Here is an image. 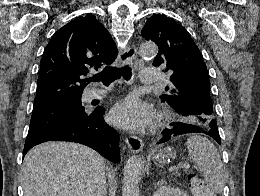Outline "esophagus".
Returning <instances> with one entry per match:
<instances>
[{"instance_id":"obj_1","label":"esophagus","mask_w":260,"mask_h":196,"mask_svg":"<svg viewBox=\"0 0 260 196\" xmlns=\"http://www.w3.org/2000/svg\"><path fill=\"white\" fill-rule=\"evenodd\" d=\"M136 55V48L134 45L127 47L126 49L122 50L119 54L120 60L123 65L127 63H131ZM125 141L133 153H138L143 149V141L138 138L137 136H127Z\"/></svg>"}]
</instances>
